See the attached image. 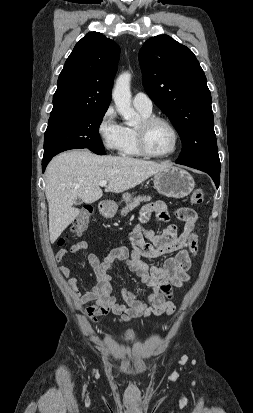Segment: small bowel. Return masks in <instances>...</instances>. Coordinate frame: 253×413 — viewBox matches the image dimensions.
I'll list each match as a JSON object with an SVG mask.
<instances>
[{"label": "small bowel", "instance_id": "1", "mask_svg": "<svg viewBox=\"0 0 253 413\" xmlns=\"http://www.w3.org/2000/svg\"><path fill=\"white\" fill-rule=\"evenodd\" d=\"M152 215L168 223L161 234H155L152 230L142 232L140 228V224L147 222ZM176 216L184 222L180 234L176 225L169 223L170 212L163 201L143 206L138 224L131 233V252L126 247H118L112 249L103 260L94 253L87 256V263L95 274L96 282L86 292L79 290V281L65 264V256L68 252L77 253L86 250L88 244L80 241L72 245L69 250L60 249L57 252L55 260L59 264V270L67 278L78 303L81 305L91 303L85 310L91 322L98 324V318L108 313L120 316V322L125 323L132 319L170 315L174 312L173 288L182 287L189 279L191 256L195 255L198 249L195 232L197 213L191 208L182 207L176 210ZM167 254L173 255L166 258L162 265H154L143 260L155 259ZM117 261L123 262L145 286L151 288L146 299L127 288H122L120 296L123 303L117 302L112 294L110 276Z\"/></svg>", "mask_w": 253, "mask_h": 413}]
</instances>
